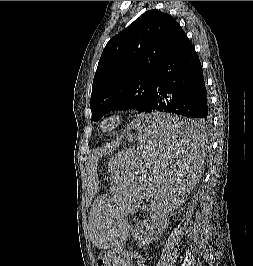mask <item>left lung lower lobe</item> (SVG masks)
I'll list each match as a JSON object with an SVG mask.
<instances>
[{
  "label": "left lung lower lobe",
  "instance_id": "left-lung-lower-lobe-1",
  "mask_svg": "<svg viewBox=\"0 0 253 266\" xmlns=\"http://www.w3.org/2000/svg\"><path fill=\"white\" fill-rule=\"evenodd\" d=\"M169 112L190 118L179 124H160L155 133L187 141L202 136L210 126L207 91L199 57L179 24L162 52L146 112Z\"/></svg>",
  "mask_w": 253,
  "mask_h": 266
}]
</instances>
